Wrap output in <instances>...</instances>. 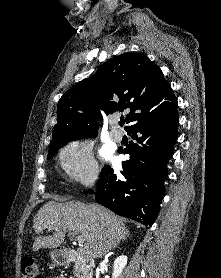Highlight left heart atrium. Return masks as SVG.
Instances as JSON below:
<instances>
[{
  "label": "left heart atrium",
  "instance_id": "1",
  "mask_svg": "<svg viewBox=\"0 0 221 278\" xmlns=\"http://www.w3.org/2000/svg\"><path fill=\"white\" fill-rule=\"evenodd\" d=\"M103 155H104L105 157H109V156H110L109 150H108V149H104Z\"/></svg>",
  "mask_w": 221,
  "mask_h": 278
}]
</instances>
